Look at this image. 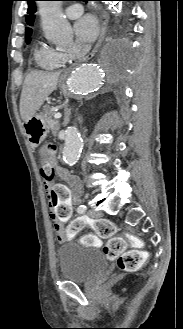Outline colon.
<instances>
[{"label":"colon","mask_w":183,"mask_h":329,"mask_svg":"<svg viewBox=\"0 0 183 329\" xmlns=\"http://www.w3.org/2000/svg\"><path fill=\"white\" fill-rule=\"evenodd\" d=\"M56 154V146L52 143H47L42 147L41 155L44 161L42 168V177L50 184L54 179V168L51 164L53 157ZM51 187V186H49ZM85 223L81 220L73 221L67 230L68 235L77 234ZM96 235L99 238L107 239V243L103 246V252L109 259H116L117 265L122 271H134L149 258V253L143 250V243L137 239L129 237L117 236L114 224L105 219L92 220L89 223ZM128 242L134 246V250L125 251ZM86 245H97L98 240L94 236H86L83 239Z\"/></svg>","instance_id":"5ec220e1"}]
</instances>
